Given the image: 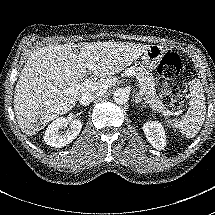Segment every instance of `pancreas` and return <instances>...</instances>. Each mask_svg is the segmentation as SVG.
I'll return each instance as SVG.
<instances>
[{
    "instance_id": "cf45deb5",
    "label": "pancreas",
    "mask_w": 215,
    "mask_h": 215,
    "mask_svg": "<svg viewBox=\"0 0 215 215\" xmlns=\"http://www.w3.org/2000/svg\"><path fill=\"white\" fill-rule=\"evenodd\" d=\"M127 71L134 72V75L137 79L140 78V85L144 90L145 93V100L149 104L150 107H152L156 112L161 113L163 110H165V105L163 102L158 98L156 95L154 89L152 88V74L147 71L146 69H143L140 66L136 67H129Z\"/></svg>"
}]
</instances>
